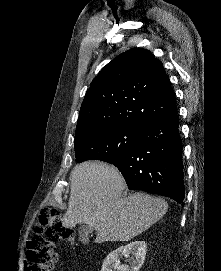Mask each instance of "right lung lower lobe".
Here are the masks:
<instances>
[{
  "label": "right lung lower lobe",
  "mask_w": 221,
  "mask_h": 271,
  "mask_svg": "<svg viewBox=\"0 0 221 271\" xmlns=\"http://www.w3.org/2000/svg\"><path fill=\"white\" fill-rule=\"evenodd\" d=\"M178 112L150 122L115 165L130 190L166 195L184 206V168Z\"/></svg>",
  "instance_id": "1"
}]
</instances>
